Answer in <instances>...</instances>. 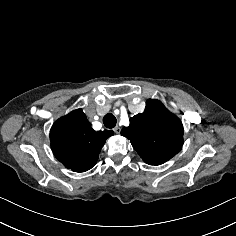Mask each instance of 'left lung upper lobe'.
Wrapping results in <instances>:
<instances>
[{
	"instance_id": "5c2ea615",
	"label": "left lung upper lobe",
	"mask_w": 236,
	"mask_h": 236,
	"mask_svg": "<svg viewBox=\"0 0 236 236\" xmlns=\"http://www.w3.org/2000/svg\"><path fill=\"white\" fill-rule=\"evenodd\" d=\"M121 134L150 165H160L175 156L183 145V125L159 100L149 99L143 113L130 119Z\"/></svg>"
}]
</instances>
